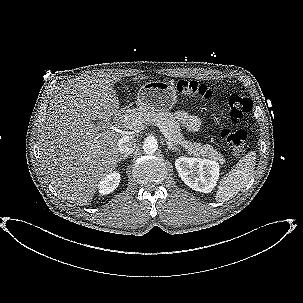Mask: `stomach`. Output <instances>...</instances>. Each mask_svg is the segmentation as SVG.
Returning a JSON list of instances; mask_svg holds the SVG:
<instances>
[{
    "label": "stomach",
    "mask_w": 303,
    "mask_h": 303,
    "mask_svg": "<svg viewBox=\"0 0 303 303\" xmlns=\"http://www.w3.org/2000/svg\"><path fill=\"white\" fill-rule=\"evenodd\" d=\"M177 102L174 86L165 81H150L141 86L137 94L138 111H169Z\"/></svg>",
    "instance_id": "obj_1"
}]
</instances>
